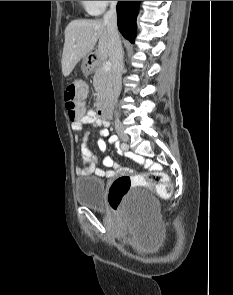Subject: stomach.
<instances>
[{"instance_id": "0dacf381", "label": "stomach", "mask_w": 233, "mask_h": 295, "mask_svg": "<svg viewBox=\"0 0 233 295\" xmlns=\"http://www.w3.org/2000/svg\"><path fill=\"white\" fill-rule=\"evenodd\" d=\"M92 68H93V65H91L90 63H89V57L87 56L85 59H84V61H83V64H82V71H83V73L84 74H89L90 73V71L92 70Z\"/></svg>"}]
</instances>
